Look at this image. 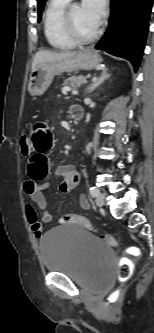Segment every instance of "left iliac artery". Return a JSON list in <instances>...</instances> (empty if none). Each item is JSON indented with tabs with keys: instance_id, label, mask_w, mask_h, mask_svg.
<instances>
[{
	"instance_id": "obj_1",
	"label": "left iliac artery",
	"mask_w": 154,
	"mask_h": 333,
	"mask_svg": "<svg viewBox=\"0 0 154 333\" xmlns=\"http://www.w3.org/2000/svg\"><path fill=\"white\" fill-rule=\"evenodd\" d=\"M89 192L93 197H96L99 194V189L94 186H91L89 188Z\"/></svg>"
}]
</instances>
